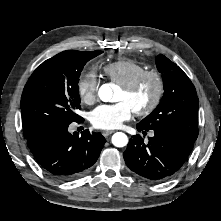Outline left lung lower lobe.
I'll return each mask as SVG.
<instances>
[{"label": "left lung lower lobe", "instance_id": "0a47b994", "mask_svg": "<svg viewBox=\"0 0 221 221\" xmlns=\"http://www.w3.org/2000/svg\"><path fill=\"white\" fill-rule=\"evenodd\" d=\"M137 130L146 129L137 124ZM154 136L144 143L140 135L130 139L123 156L129 169L151 181H163L173 176L190 155L194 142L173 132L153 130Z\"/></svg>", "mask_w": 221, "mask_h": 221}]
</instances>
